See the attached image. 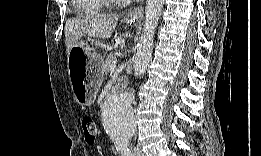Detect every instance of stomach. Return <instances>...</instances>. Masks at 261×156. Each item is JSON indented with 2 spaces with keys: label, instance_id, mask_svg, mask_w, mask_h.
Returning a JSON list of instances; mask_svg holds the SVG:
<instances>
[{
  "label": "stomach",
  "instance_id": "obj_1",
  "mask_svg": "<svg viewBox=\"0 0 261 156\" xmlns=\"http://www.w3.org/2000/svg\"><path fill=\"white\" fill-rule=\"evenodd\" d=\"M130 20L129 23H134ZM87 41L80 40L68 55V70L75 100L82 106L94 103L102 81L103 57L95 53ZM86 57L85 64L79 67L78 60Z\"/></svg>",
  "mask_w": 261,
  "mask_h": 156
}]
</instances>
